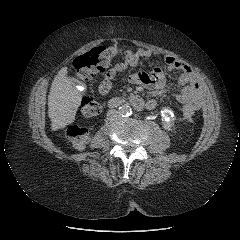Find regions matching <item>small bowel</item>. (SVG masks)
Returning <instances> with one entry per match:
<instances>
[{"instance_id":"1","label":"small bowel","mask_w":240,"mask_h":240,"mask_svg":"<svg viewBox=\"0 0 240 240\" xmlns=\"http://www.w3.org/2000/svg\"><path fill=\"white\" fill-rule=\"evenodd\" d=\"M157 56V53L151 49L140 48L136 52L127 51L122 63L105 72L103 80L98 86L100 94H107L112 88V81L117 74L126 68H135L140 59ZM164 62L169 70L181 71L178 83L183 87L182 91L176 95V100L182 104L190 105L194 110H199L203 103L200 84L195 72L184 62L172 57L165 56ZM128 80L132 84L151 87L159 91H165L170 88L167 84L164 73L161 69L155 68L150 72L138 71L130 74ZM147 109H154L157 105L155 99L146 102Z\"/></svg>"}]
</instances>
